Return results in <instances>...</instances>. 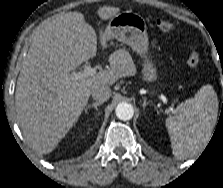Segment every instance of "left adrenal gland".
<instances>
[{"instance_id": "1", "label": "left adrenal gland", "mask_w": 223, "mask_h": 188, "mask_svg": "<svg viewBox=\"0 0 223 188\" xmlns=\"http://www.w3.org/2000/svg\"><path fill=\"white\" fill-rule=\"evenodd\" d=\"M143 100H144V102H143V108H145L146 107V105H148V102L146 101V98H143Z\"/></svg>"}]
</instances>
